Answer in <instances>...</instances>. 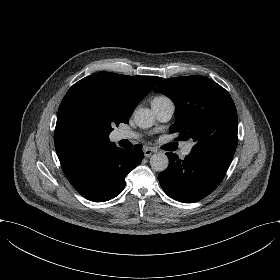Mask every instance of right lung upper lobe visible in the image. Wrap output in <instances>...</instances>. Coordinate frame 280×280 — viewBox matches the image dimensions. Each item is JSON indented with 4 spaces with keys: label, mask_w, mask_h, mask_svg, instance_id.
Here are the masks:
<instances>
[{
    "label": "right lung upper lobe",
    "mask_w": 280,
    "mask_h": 280,
    "mask_svg": "<svg viewBox=\"0 0 280 280\" xmlns=\"http://www.w3.org/2000/svg\"><path fill=\"white\" fill-rule=\"evenodd\" d=\"M161 79L99 72L75 83L60 104L54 131L64 173L90 153L115 146L109 140L112 125L128 123L135 107Z\"/></svg>",
    "instance_id": "cb5924a9"
}]
</instances>
